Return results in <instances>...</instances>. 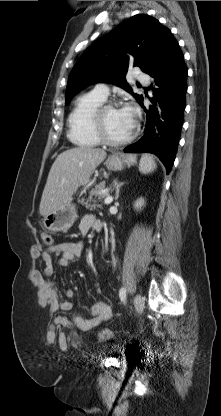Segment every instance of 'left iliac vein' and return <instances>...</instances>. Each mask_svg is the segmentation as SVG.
I'll return each mask as SVG.
<instances>
[{
  "instance_id": "obj_1",
  "label": "left iliac vein",
  "mask_w": 221,
  "mask_h": 416,
  "mask_svg": "<svg viewBox=\"0 0 221 416\" xmlns=\"http://www.w3.org/2000/svg\"><path fill=\"white\" fill-rule=\"evenodd\" d=\"M134 307L138 314L142 313L144 309V298L141 294H137L134 298Z\"/></svg>"
}]
</instances>
